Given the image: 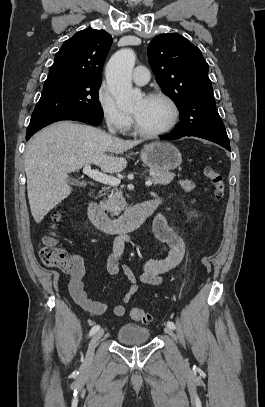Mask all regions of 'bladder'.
Masks as SVG:
<instances>
[{
  "instance_id": "bladder-1",
  "label": "bladder",
  "mask_w": 265,
  "mask_h": 407,
  "mask_svg": "<svg viewBox=\"0 0 265 407\" xmlns=\"http://www.w3.org/2000/svg\"><path fill=\"white\" fill-rule=\"evenodd\" d=\"M150 338V330L134 323H127L120 327L116 339L121 344L135 345L147 342Z\"/></svg>"
}]
</instances>
